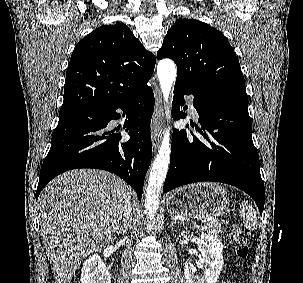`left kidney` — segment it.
I'll use <instances>...</instances> for the list:
<instances>
[{
  "label": "left kidney",
  "instance_id": "5707ae66",
  "mask_svg": "<svg viewBox=\"0 0 303 283\" xmlns=\"http://www.w3.org/2000/svg\"><path fill=\"white\" fill-rule=\"evenodd\" d=\"M188 232H181V236L188 237ZM198 250L202 257L196 260L197 267L202 273L195 275L196 268L192 264L185 265L184 274L187 283H217L223 268V244L221 240L213 234L201 233L196 240Z\"/></svg>",
  "mask_w": 303,
  "mask_h": 283
}]
</instances>
